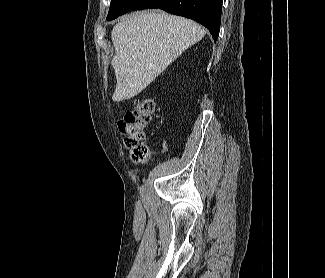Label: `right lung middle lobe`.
<instances>
[{
    "mask_svg": "<svg viewBox=\"0 0 325 278\" xmlns=\"http://www.w3.org/2000/svg\"><path fill=\"white\" fill-rule=\"evenodd\" d=\"M136 0H111L107 20L111 21L120 15L131 11Z\"/></svg>",
    "mask_w": 325,
    "mask_h": 278,
    "instance_id": "obj_1",
    "label": "right lung middle lobe"
}]
</instances>
